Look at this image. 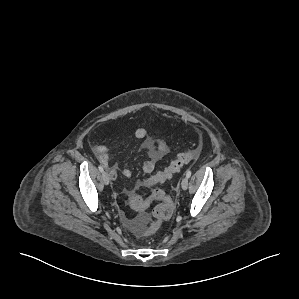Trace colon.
<instances>
[{"label": "colon", "mask_w": 299, "mask_h": 299, "mask_svg": "<svg viewBox=\"0 0 299 299\" xmlns=\"http://www.w3.org/2000/svg\"><path fill=\"white\" fill-rule=\"evenodd\" d=\"M199 153L198 149H190L177 155V157L163 170L156 172L154 175L141 181L139 186L154 187L170 179L180 169L190 163ZM152 201H160L161 203L154 209L153 221L148 227L139 229L137 233L142 236H149L156 232L163 221L169 219L174 211L172 199L161 189H153L149 198L144 199L138 193L132 192L129 197V203L133 210L142 211L146 209Z\"/></svg>", "instance_id": "obj_1"}]
</instances>
